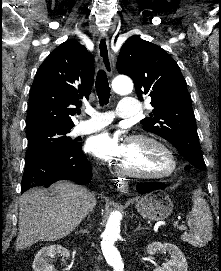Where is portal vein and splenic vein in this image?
Wrapping results in <instances>:
<instances>
[{
	"label": "portal vein and splenic vein",
	"instance_id": "obj_1",
	"mask_svg": "<svg viewBox=\"0 0 221 271\" xmlns=\"http://www.w3.org/2000/svg\"><path fill=\"white\" fill-rule=\"evenodd\" d=\"M174 225L175 227H179V229H182V227H184V225H178V221H174Z\"/></svg>",
	"mask_w": 221,
	"mask_h": 271
}]
</instances>
